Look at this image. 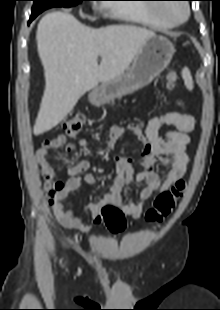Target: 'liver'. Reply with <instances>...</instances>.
<instances>
[{"instance_id": "6515ba94", "label": "liver", "mask_w": 220, "mask_h": 310, "mask_svg": "<svg viewBox=\"0 0 220 310\" xmlns=\"http://www.w3.org/2000/svg\"><path fill=\"white\" fill-rule=\"evenodd\" d=\"M153 36H156L153 31L137 26L111 25L93 29L69 13L46 14L36 33L45 90L33 127L34 135L57 126L78 100L99 82L122 75L142 44Z\"/></svg>"}]
</instances>
